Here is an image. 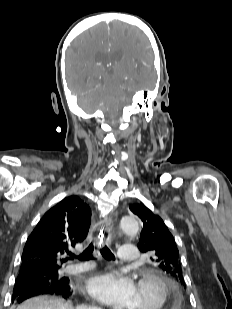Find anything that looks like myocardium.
<instances>
[{"instance_id":"1","label":"myocardium","mask_w":232,"mask_h":309,"mask_svg":"<svg viewBox=\"0 0 232 309\" xmlns=\"http://www.w3.org/2000/svg\"><path fill=\"white\" fill-rule=\"evenodd\" d=\"M152 283L159 290L158 303L149 309H165L169 304L171 298V290L167 280L159 273L151 270H143L138 274V284Z\"/></svg>"}]
</instances>
